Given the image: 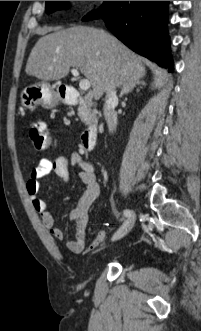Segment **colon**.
Returning a JSON list of instances; mask_svg holds the SVG:
<instances>
[{"mask_svg":"<svg viewBox=\"0 0 201 331\" xmlns=\"http://www.w3.org/2000/svg\"><path fill=\"white\" fill-rule=\"evenodd\" d=\"M30 139L37 150H45L52 143V133L44 122H35L29 130Z\"/></svg>","mask_w":201,"mask_h":331,"instance_id":"1","label":"colon"}]
</instances>
